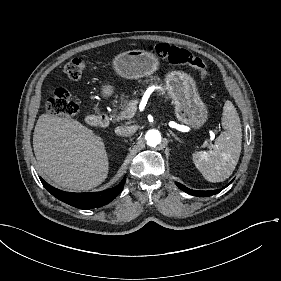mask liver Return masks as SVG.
Returning a JSON list of instances; mask_svg holds the SVG:
<instances>
[{"label": "liver", "instance_id": "1", "mask_svg": "<svg viewBox=\"0 0 281 281\" xmlns=\"http://www.w3.org/2000/svg\"><path fill=\"white\" fill-rule=\"evenodd\" d=\"M33 148L42 171L61 187L90 190L106 179L103 143L78 121L41 115L34 128Z\"/></svg>", "mask_w": 281, "mask_h": 281}]
</instances>
